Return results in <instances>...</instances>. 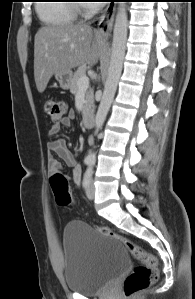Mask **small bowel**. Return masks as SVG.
<instances>
[{"instance_id": "1", "label": "small bowel", "mask_w": 195, "mask_h": 299, "mask_svg": "<svg viewBox=\"0 0 195 299\" xmlns=\"http://www.w3.org/2000/svg\"><path fill=\"white\" fill-rule=\"evenodd\" d=\"M73 117V113H70L59 122L52 124L49 129V135H57L62 127H69L72 123ZM48 150L50 153H55L57 156H59L65 162V164L72 169V181L75 185L79 186L81 181V168L78 165L73 153L68 149L65 140L59 138L50 142L48 144ZM48 163L51 170L60 169L59 163L52 156L49 157Z\"/></svg>"}]
</instances>
